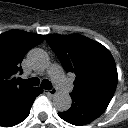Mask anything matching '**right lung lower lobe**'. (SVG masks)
Returning <instances> with one entry per match:
<instances>
[{
	"label": "right lung lower lobe",
	"mask_w": 128,
	"mask_h": 128,
	"mask_svg": "<svg viewBox=\"0 0 128 128\" xmlns=\"http://www.w3.org/2000/svg\"><path fill=\"white\" fill-rule=\"evenodd\" d=\"M42 92L40 87H30L12 98L0 109V126L11 127L25 120L35 98Z\"/></svg>",
	"instance_id": "98d812e1"
}]
</instances>
